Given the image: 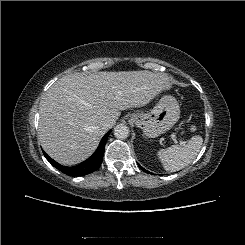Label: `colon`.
Segmentation results:
<instances>
[{
  "label": "colon",
  "instance_id": "obj_1",
  "mask_svg": "<svg viewBox=\"0 0 245 245\" xmlns=\"http://www.w3.org/2000/svg\"><path fill=\"white\" fill-rule=\"evenodd\" d=\"M196 130H197L196 127H192V128H191V131H192V132H195Z\"/></svg>",
  "mask_w": 245,
  "mask_h": 245
}]
</instances>
